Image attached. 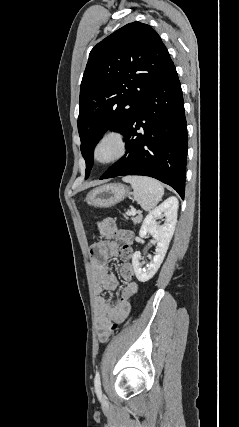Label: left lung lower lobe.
<instances>
[{
    "label": "left lung lower lobe",
    "mask_w": 239,
    "mask_h": 427,
    "mask_svg": "<svg viewBox=\"0 0 239 427\" xmlns=\"http://www.w3.org/2000/svg\"><path fill=\"white\" fill-rule=\"evenodd\" d=\"M124 137L127 154L100 179L150 176L173 187L183 199L188 139L184 101L175 66L140 100Z\"/></svg>",
    "instance_id": "obj_1"
}]
</instances>
